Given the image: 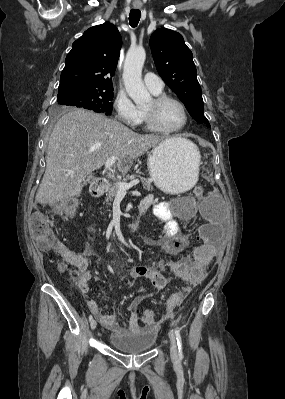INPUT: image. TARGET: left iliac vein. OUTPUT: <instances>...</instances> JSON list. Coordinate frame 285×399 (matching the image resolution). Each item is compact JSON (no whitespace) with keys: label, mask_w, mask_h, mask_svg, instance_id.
<instances>
[{"label":"left iliac vein","mask_w":285,"mask_h":399,"mask_svg":"<svg viewBox=\"0 0 285 399\" xmlns=\"http://www.w3.org/2000/svg\"><path fill=\"white\" fill-rule=\"evenodd\" d=\"M168 335L170 339V354L173 359H176L178 357L176 338L173 331H170Z\"/></svg>","instance_id":"obj_1"}]
</instances>
